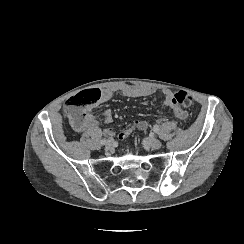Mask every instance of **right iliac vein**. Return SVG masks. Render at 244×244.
<instances>
[{"instance_id": "63e3f726", "label": "right iliac vein", "mask_w": 244, "mask_h": 244, "mask_svg": "<svg viewBox=\"0 0 244 244\" xmlns=\"http://www.w3.org/2000/svg\"><path fill=\"white\" fill-rule=\"evenodd\" d=\"M113 143H114V141L112 139L106 140V142H105L106 149H109L110 147H112Z\"/></svg>"}]
</instances>
